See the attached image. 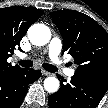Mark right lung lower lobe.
Instances as JSON below:
<instances>
[{"instance_id":"right-lung-lower-lobe-1","label":"right lung lower lobe","mask_w":108,"mask_h":108,"mask_svg":"<svg viewBox=\"0 0 108 108\" xmlns=\"http://www.w3.org/2000/svg\"><path fill=\"white\" fill-rule=\"evenodd\" d=\"M41 76L40 70L21 69L0 74V108H19L30 83Z\"/></svg>"}]
</instances>
